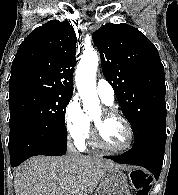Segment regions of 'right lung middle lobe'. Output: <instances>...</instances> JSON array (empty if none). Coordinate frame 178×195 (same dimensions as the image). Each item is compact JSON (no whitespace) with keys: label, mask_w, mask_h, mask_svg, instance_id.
I'll use <instances>...</instances> for the list:
<instances>
[{"label":"right lung middle lobe","mask_w":178,"mask_h":195,"mask_svg":"<svg viewBox=\"0 0 178 195\" xmlns=\"http://www.w3.org/2000/svg\"><path fill=\"white\" fill-rule=\"evenodd\" d=\"M72 94L25 91L9 96L10 130L13 128L56 127L67 134L65 109Z\"/></svg>","instance_id":"right-lung-middle-lobe-1"}]
</instances>
